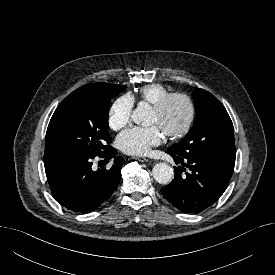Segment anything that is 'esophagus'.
<instances>
[{
  "instance_id": "1",
  "label": "esophagus",
  "mask_w": 275,
  "mask_h": 275,
  "mask_svg": "<svg viewBox=\"0 0 275 275\" xmlns=\"http://www.w3.org/2000/svg\"><path fill=\"white\" fill-rule=\"evenodd\" d=\"M134 159H136V160H138V161H140V162H147V161H149L148 158H146V157H141V156L134 157Z\"/></svg>"
}]
</instances>
